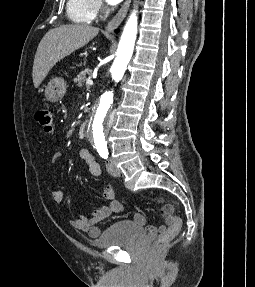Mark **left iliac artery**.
Masks as SVG:
<instances>
[{
	"label": "left iliac artery",
	"instance_id": "left-iliac-artery-1",
	"mask_svg": "<svg viewBox=\"0 0 255 287\" xmlns=\"http://www.w3.org/2000/svg\"><path fill=\"white\" fill-rule=\"evenodd\" d=\"M97 151H98L99 155L102 158H104V159L108 158V149H107V147H98Z\"/></svg>",
	"mask_w": 255,
	"mask_h": 287
}]
</instances>
